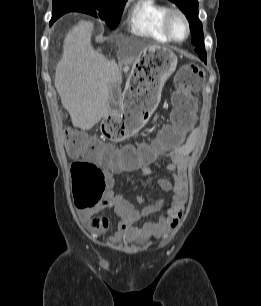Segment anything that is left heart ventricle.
Instances as JSON below:
<instances>
[{"label":"left heart ventricle","mask_w":261,"mask_h":306,"mask_svg":"<svg viewBox=\"0 0 261 306\" xmlns=\"http://www.w3.org/2000/svg\"><path fill=\"white\" fill-rule=\"evenodd\" d=\"M171 30L177 39H182L185 36V27L178 17H174L171 21Z\"/></svg>","instance_id":"left-heart-ventricle-1"}]
</instances>
